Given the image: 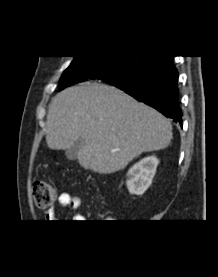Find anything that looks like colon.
I'll use <instances>...</instances> for the list:
<instances>
[{
	"label": "colon",
	"instance_id": "obj_1",
	"mask_svg": "<svg viewBox=\"0 0 218 277\" xmlns=\"http://www.w3.org/2000/svg\"><path fill=\"white\" fill-rule=\"evenodd\" d=\"M32 194L38 208L45 209L52 206L56 200L55 187L45 181H37L33 184Z\"/></svg>",
	"mask_w": 218,
	"mask_h": 277
}]
</instances>
